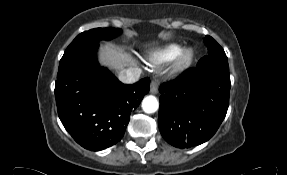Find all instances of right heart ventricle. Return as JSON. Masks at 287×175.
<instances>
[{
	"label": "right heart ventricle",
	"mask_w": 287,
	"mask_h": 175,
	"mask_svg": "<svg viewBox=\"0 0 287 175\" xmlns=\"http://www.w3.org/2000/svg\"><path fill=\"white\" fill-rule=\"evenodd\" d=\"M182 46L178 43H169L153 51L148 60L154 65H162L176 58Z\"/></svg>",
	"instance_id": "right-heart-ventricle-1"
}]
</instances>
